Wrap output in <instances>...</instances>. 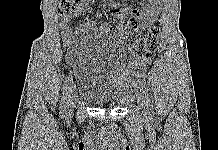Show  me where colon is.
Wrapping results in <instances>:
<instances>
[{
	"label": "colon",
	"instance_id": "1",
	"mask_svg": "<svg viewBox=\"0 0 218 150\" xmlns=\"http://www.w3.org/2000/svg\"><path fill=\"white\" fill-rule=\"evenodd\" d=\"M81 0H60L59 10L62 14L72 12ZM160 37V23L155 22L145 35L138 29H130L124 39L140 60H146L157 48Z\"/></svg>",
	"mask_w": 218,
	"mask_h": 150
}]
</instances>
